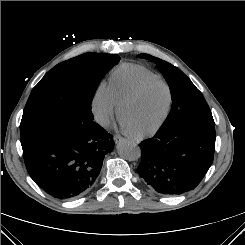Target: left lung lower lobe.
Masks as SVG:
<instances>
[{
  "label": "left lung lower lobe",
  "instance_id": "1",
  "mask_svg": "<svg viewBox=\"0 0 245 245\" xmlns=\"http://www.w3.org/2000/svg\"><path fill=\"white\" fill-rule=\"evenodd\" d=\"M214 124L182 118L141 143L137 171L157 192L178 195L195 188L213 162Z\"/></svg>",
  "mask_w": 245,
  "mask_h": 245
}]
</instances>
